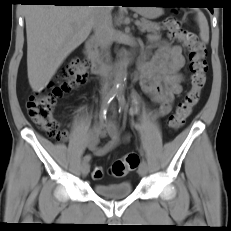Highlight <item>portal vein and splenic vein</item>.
<instances>
[{
    "label": "portal vein and splenic vein",
    "mask_w": 231,
    "mask_h": 231,
    "mask_svg": "<svg viewBox=\"0 0 231 231\" xmlns=\"http://www.w3.org/2000/svg\"><path fill=\"white\" fill-rule=\"evenodd\" d=\"M135 24H136L137 26H139V25H140V22H139V21H136Z\"/></svg>",
    "instance_id": "1"
}]
</instances>
